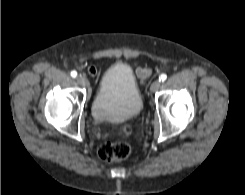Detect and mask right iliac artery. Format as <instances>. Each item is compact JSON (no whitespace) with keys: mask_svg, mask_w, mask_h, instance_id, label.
<instances>
[{"mask_svg":"<svg viewBox=\"0 0 245 195\" xmlns=\"http://www.w3.org/2000/svg\"><path fill=\"white\" fill-rule=\"evenodd\" d=\"M71 76H72L73 78H75V77L77 76V72H76V71H72V72H71Z\"/></svg>","mask_w":245,"mask_h":195,"instance_id":"1","label":"right iliac artery"}]
</instances>
